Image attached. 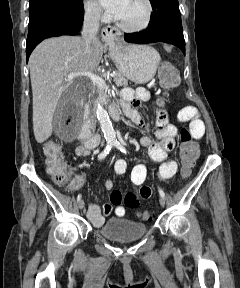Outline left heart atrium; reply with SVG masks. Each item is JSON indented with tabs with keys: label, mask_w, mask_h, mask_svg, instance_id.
<instances>
[{
	"label": "left heart atrium",
	"mask_w": 240,
	"mask_h": 288,
	"mask_svg": "<svg viewBox=\"0 0 240 288\" xmlns=\"http://www.w3.org/2000/svg\"><path fill=\"white\" fill-rule=\"evenodd\" d=\"M102 6L113 16L120 18L128 5L129 0H99Z\"/></svg>",
	"instance_id": "left-heart-atrium-1"
}]
</instances>
